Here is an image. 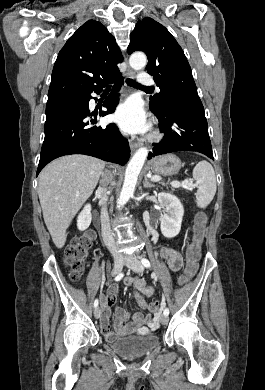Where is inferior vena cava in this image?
I'll use <instances>...</instances> for the list:
<instances>
[{
    "mask_svg": "<svg viewBox=\"0 0 265 390\" xmlns=\"http://www.w3.org/2000/svg\"><path fill=\"white\" fill-rule=\"evenodd\" d=\"M105 182L106 179L102 180L103 187H100L98 189V194L100 195V203L103 205L101 209V231H102V239L105 244V246L109 249L111 254L116 257L120 256L121 252L119 251L118 247L116 246L114 235L112 233L110 223H109V216L106 208V202H107V195H106V188H105Z\"/></svg>",
    "mask_w": 265,
    "mask_h": 390,
    "instance_id": "obj_1",
    "label": "inferior vena cava"
}]
</instances>
